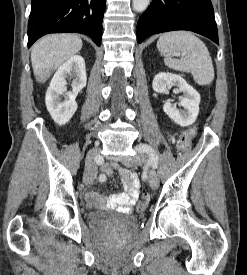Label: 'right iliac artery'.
Segmentation results:
<instances>
[{
    "label": "right iliac artery",
    "mask_w": 247,
    "mask_h": 275,
    "mask_svg": "<svg viewBox=\"0 0 247 275\" xmlns=\"http://www.w3.org/2000/svg\"><path fill=\"white\" fill-rule=\"evenodd\" d=\"M103 161H104V158L101 156V154H96V156H95V162L97 164H102ZM99 180L100 181H104L105 180V176L104 175H100L99 176Z\"/></svg>",
    "instance_id": "82829eb1"
}]
</instances>
